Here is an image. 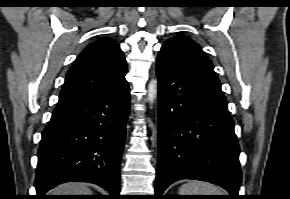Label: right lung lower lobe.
<instances>
[{
	"label": "right lung lower lobe",
	"mask_w": 290,
	"mask_h": 199,
	"mask_svg": "<svg viewBox=\"0 0 290 199\" xmlns=\"http://www.w3.org/2000/svg\"><path fill=\"white\" fill-rule=\"evenodd\" d=\"M130 111L128 83L76 103L57 106L42 132L36 199L64 182H89L119 199L120 160Z\"/></svg>",
	"instance_id": "1"
}]
</instances>
